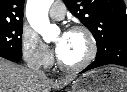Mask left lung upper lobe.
<instances>
[{
  "instance_id": "obj_1",
  "label": "left lung upper lobe",
  "mask_w": 127,
  "mask_h": 92,
  "mask_svg": "<svg viewBox=\"0 0 127 92\" xmlns=\"http://www.w3.org/2000/svg\"><path fill=\"white\" fill-rule=\"evenodd\" d=\"M70 12L93 34L98 51L115 42H127V15L123 0H63Z\"/></svg>"
}]
</instances>
